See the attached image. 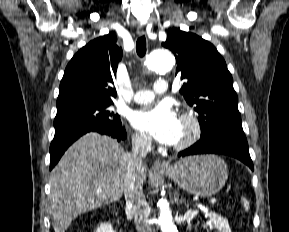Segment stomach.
Masks as SVG:
<instances>
[{
    "instance_id": "obj_1",
    "label": "stomach",
    "mask_w": 289,
    "mask_h": 232,
    "mask_svg": "<svg viewBox=\"0 0 289 232\" xmlns=\"http://www.w3.org/2000/svg\"><path fill=\"white\" fill-rule=\"evenodd\" d=\"M159 174L173 180L191 194L208 197L218 193L225 185L228 167L215 155L190 156Z\"/></svg>"
}]
</instances>
